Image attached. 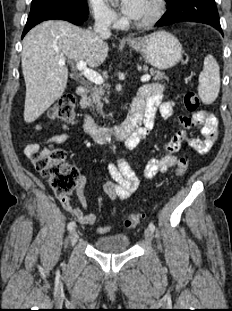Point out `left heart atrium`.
<instances>
[{
  "label": "left heart atrium",
  "instance_id": "left-heart-atrium-1",
  "mask_svg": "<svg viewBox=\"0 0 232 311\" xmlns=\"http://www.w3.org/2000/svg\"><path fill=\"white\" fill-rule=\"evenodd\" d=\"M146 0H120L122 13L131 19H137L143 12Z\"/></svg>",
  "mask_w": 232,
  "mask_h": 311
}]
</instances>
